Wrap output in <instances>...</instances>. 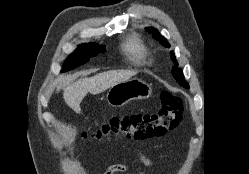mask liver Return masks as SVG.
Returning a JSON list of instances; mask_svg holds the SVG:
<instances>
[{"mask_svg": "<svg viewBox=\"0 0 249 174\" xmlns=\"http://www.w3.org/2000/svg\"><path fill=\"white\" fill-rule=\"evenodd\" d=\"M136 74L137 71L133 70H110L90 78H83L64 89L63 98L70 108L79 111L80 103L88 92L93 95L102 93L120 82L129 80Z\"/></svg>", "mask_w": 249, "mask_h": 174, "instance_id": "6515ba94", "label": "liver"}]
</instances>
